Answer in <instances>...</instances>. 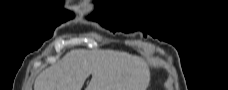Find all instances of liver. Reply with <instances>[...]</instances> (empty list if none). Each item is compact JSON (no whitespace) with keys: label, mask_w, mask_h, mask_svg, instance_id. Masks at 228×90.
Wrapping results in <instances>:
<instances>
[{"label":"liver","mask_w":228,"mask_h":90,"mask_svg":"<svg viewBox=\"0 0 228 90\" xmlns=\"http://www.w3.org/2000/svg\"><path fill=\"white\" fill-rule=\"evenodd\" d=\"M146 90L150 73L144 60L126 52L74 49L41 72L35 90Z\"/></svg>","instance_id":"liver-1"}]
</instances>
